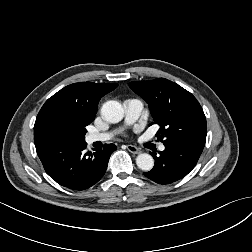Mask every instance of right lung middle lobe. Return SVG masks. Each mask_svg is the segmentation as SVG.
<instances>
[{
	"label": "right lung middle lobe",
	"mask_w": 252,
	"mask_h": 252,
	"mask_svg": "<svg viewBox=\"0 0 252 252\" xmlns=\"http://www.w3.org/2000/svg\"><path fill=\"white\" fill-rule=\"evenodd\" d=\"M85 126H74L61 120L48 122L35 136V146L58 145L85 141Z\"/></svg>",
	"instance_id": "obj_1"
}]
</instances>
